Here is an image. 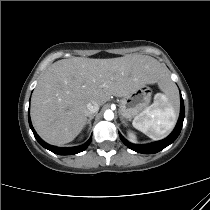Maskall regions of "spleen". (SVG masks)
<instances>
[{
	"label": "spleen",
	"instance_id": "3e777b00",
	"mask_svg": "<svg viewBox=\"0 0 210 210\" xmlns=\"http://www.w3.org/2000/svg\"><path fill=\"white\" fill-rule=\"evenodd\" d=\"M165 93H157L154 102L138 117L134 118L132 125L151 139L164 138L176 123V114L172 103L175 93L173 84L168 80Z\"/></svg>",
	"mask_w": 210,
	"mask_h": 210
}]
</instances>
